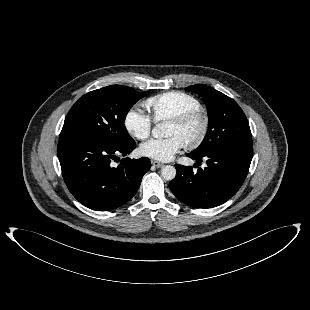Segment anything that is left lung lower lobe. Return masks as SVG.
<instances>
[{
    "mask_svg": "<svg viewBox=\"0 0 310 310\" xmlns=\"http://www.w3.org/2000/svg\"><path fill=\"white\" fill-rule=\"evenodd\" d=\"M188 157L207 167L193 172L191 166L175 165L177 175L169 183L172 193L195 208H212L230 199L243 184L253 156L252 143L225 146L201 156Z\"/></svg>",
    "mask_w": 310,
    "mask_h": 310,
    "instance_id": "1",
    "label": "left lung lower lobe"
}]
</instances>
